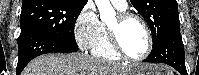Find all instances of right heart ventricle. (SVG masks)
I'll list each match as a JSON object with an SVG mask.
<instances>
[{
	"label": "right heart ventricle",
	"instance_id": "e07e8e85",
	"mask_svg": "<svg viewBox=\"0 0 199 75\" xmlns=\"http://www.w3.org/2000/svg\"><path fill=\"white\" fill-rule=\"evenodd\" d=\"M122 11V10H121ZM92 53L94 56H97L106 60H118L120 55L114 50L111 45L107 28L105 24H102V34L96 45L92 48Z\"/></svg>",
	"mask_w": 199,
	"mask_h": 75
}]
</instances>
